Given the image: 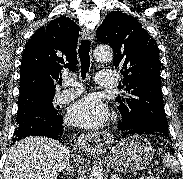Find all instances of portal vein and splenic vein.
<instances>
[{"instance_id": "1", "label": "portal vein and splenic vein", "mask_w": 183, "mask_h": 179, "mask_svg": "<svg viewBox=\"0 0 183 179\" xmlns=\"http://www.w3.org/2000/svg\"><path fill=\"white\" fill-rule=\"evenodd\" d=\"M148 177H144V176H142V177H140L139 179H147Z\"/></svg>"}]
</instances>
